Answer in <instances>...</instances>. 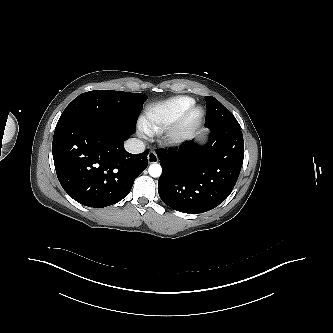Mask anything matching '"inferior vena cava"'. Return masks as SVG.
<instances>
[{"instance_id":"inferior-vena-cava-1","label":"inferior vena cava","mask_w":333,"mask_h":333,"mask_svg":"<svg viewBox=\"0 0 333 333\" xmlns=\"http://www.w3.org/2000/svg\"><path fill=\"white\" fill-rule=\"evenodd\" d=\"M124 146L129 153L133 154L142 153L145 150L144 142L136 138H131L127 140Z\"/></svg>"}]
</instances>
